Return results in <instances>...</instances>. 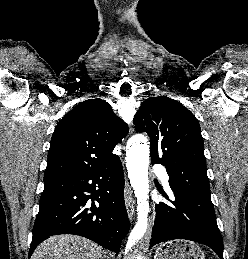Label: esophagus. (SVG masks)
Here are the masks:
<instances>
[{
    "label": "esophagus",
    "instance_id": "obj_1",
    "mask_svg": "<svg viewBox=\"0 0 248 259\" xmlns=\"http://www.w3.org/2000/svg\"><path fill=\"white\" fill-rule=\"evenodd\" d=\"M132 129L130 128V131ZM124 200H125V206H126V210H127V214L129 216L130 220H133L134 215H135V209H134V204H133V200H132V191L129 185V182L125 181V187H124Z\"/></svg>",
    "mask_w": 248,
    "mask_h": 259
}]
</instances>
